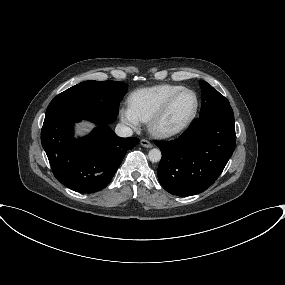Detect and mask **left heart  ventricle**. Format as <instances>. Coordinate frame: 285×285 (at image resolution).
Listing matches in <instances>:
<instances>
[{
  "label": "left heart ventricle",
  "instance_id": "b2bd125f",
  "mask_svg": "<svg viewBox=\"0 0 285 285\" xmlns=\"http://www.w3.org/2000/svg\"><path fill=\"white\" fill-rule=\"evenodd\" d=\"M195 105V98L191 93L181 95L172 105L162 121V125L168 128L182 124L191 114Z\"/></svg>",
  "mask_w": 285,
  "mask_h": 285
}]
</instances>
